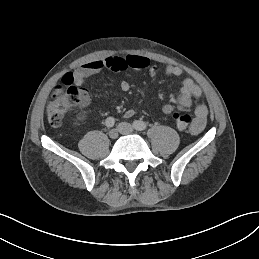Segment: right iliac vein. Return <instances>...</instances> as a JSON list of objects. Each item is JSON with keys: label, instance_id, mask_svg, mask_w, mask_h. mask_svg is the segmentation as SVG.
Returning <instances> with one entry per match:
<instances>
[{"label": "right iliac vein", "instance_id": "63e3f726", "mask_svg": "<svg viewBox=\"0 0 259 259\" xmlns=\"http://www.w3.org/2000/svg\"><path fill=\"white\" fill-rule=\"evenodd\" d=\"M109 137L111 139H116L118 137V130L117 129H111L109 131Z\"/></svg>", "mask_w": 259, "mask_h": 259}]
</instances>
